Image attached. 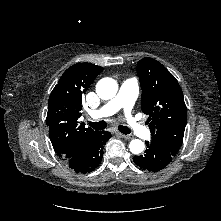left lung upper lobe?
<instances>
[{"instance_id":"1","label":"left lung upper lobe","mask_w":221,"mask_h":221,"mask_svg":"<svg viewBox=\"0 0 221 221\" xmlns=\"http://www.w3.org/2000/svg\"><path fill=\"white\" fill-rule=\"evenodd\" d=\"M142 87L141 109L149 115L151 145L173 156L181 147L187 120L182 89L176 78L157 60L138 61Z\"/></svg>"}]
</instances>
